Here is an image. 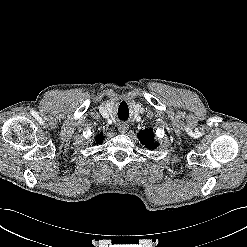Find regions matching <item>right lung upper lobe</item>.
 <instances>
[{
  "instance_id": "1",
  "label": "right lung upper lobe",
  "mask_w": 247,
  "mask_h": 247,
  "mask_svg": "<svg viewBox=\"0 0 247 247\" xmlns=\"http://www.w3.org/2000/svg\"><path fill=\"white\" fill-rule=\"evenodd\" d=\"M102 140H103V135H102V134L97 135V137H96V139H95L96 143H101Z\"/></svg>"
}]
</instances>
